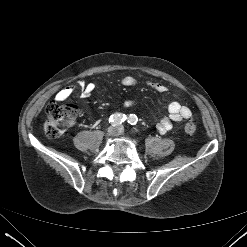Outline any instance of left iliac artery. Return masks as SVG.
Instances as JSON below:
<instances>
[{
	"label": "left iliac artery",
	"mask_w": 247,
	"mask_h": 247,
	"mask_svg": "<svg viewBox=\"0 0 247 247\" xmlns=\"http://www.w3.org/2000/svg\"><path fill=\"white\" fill-rule=\"evenodd\" d=\"M137 117L136 115L130 114L129 118H128V124L130 125H135L137 123Z\"/></svg>",
	"instance_id": "left-iliac-artery-1"
}]
</instances>
